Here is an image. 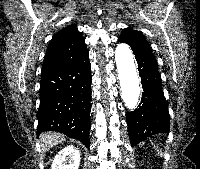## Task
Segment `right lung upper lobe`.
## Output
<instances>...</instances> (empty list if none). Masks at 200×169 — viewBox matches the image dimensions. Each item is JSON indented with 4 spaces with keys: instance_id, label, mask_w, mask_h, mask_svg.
<instances>
[{
    "instance_id": "right-lung-upper-lobe-1",
    "label": "right lung upper lobe",
    "mask_w": 200,
    "mask_h": 169,
    "mask_svg": "<svg viewBox=\"0 0 200 169\" xmlns=\"http://www.w3.org/2000/svg\"><path fill=\"white\" fill-rule=\"evenodd\" d=\"M87 51L82 34L75 24L59 31L50 41L42 72L69 65Z\"/></svg>"
}]
</instances>
